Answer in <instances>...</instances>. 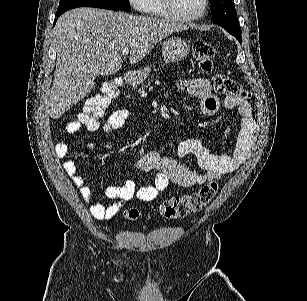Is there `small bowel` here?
Returning <instances> with one entry per match:
<instances>
[{
	"label": "small bowel",
	"mask_w": 307,
	"mask_h": 301,
	"mask_svg": "<svg viewBox=\"0 0 307 301\" xmlns=\"http://www.w3.org/2000/svg\"><path fill=\"white\" fill-rule=\"evenodd\" d=\"M179 88L200 100V110L206 115L216 114L221 104L227 108H237L241 116L240 130L237 137L235 149L231 155L212 154L204 144L197 139H188L178 146L179 157L194 154L203 172H197L187 166L179 164L175 159L162 156L158 152L145 153L137 162V166L143 170H156L157 175L153 184L137 189L132 180L123 185L109 186L105 194L108 198L116 200L111 204L92 202V189L85 183L84 178L77 174L76 164L73 160H66L63 168L79 189L82 199L90 202L89 212L94 219L108 220L120 209L121 205L134 198L149 202L154 200L170 183L181 187L199 186L209 180L221 179L229 174L246 160L255 136L256 122L254 112L250 103L246 100L227 96L222 101L211 92L209 82L204 78L181 81ZM126 109H118L112 112L102 126L105 134H110L122 128L128 118ZM80 127L79 120L75 119L67 123L64 128L65 138L72 136ZM90 144L89 148L93 149ZM58 158L65 159L69 153V147L65 139L60 140L55 146Z\"/></svg>",
	"instance_id": "small-bowel-1"
}]
</instances>
